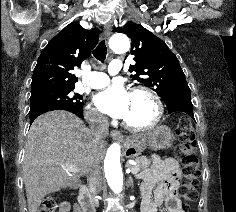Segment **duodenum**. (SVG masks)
Returning <instances> with one entry per match:
<instances>
[{"mask_svg":"<svg viewBox=\"0 0 236 212\" xmlns=\"http://www.w3.org/2000/svg\"><path fill=\"white\" fill-rule=\"evenodd\" d=\"M78 199L82 212H96L89 189L86 185L80 186Z\"/></svg>","mask_w":236,"mask_h":212,"instance_id":"duodenum-1","label":"duodenum"}]
</instances>
